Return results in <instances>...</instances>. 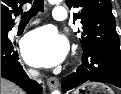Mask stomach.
Instances as JSON below:
<instances>
[{
  "instance_id": "1",
  "label": "stomach",
  "mask_w": 121,
  "mask_h": 94,
  "mask_svg": "<svg viewBox=\"0 0 121 94\" xmlns=\"http://www.w3.org/2000/svg\"><path fill=\"white\" fill-rule=\"evenodd\" d=\"M72 94H114L105 84L89 82L77 88Z\"/></svg>"
}]
</instances>
